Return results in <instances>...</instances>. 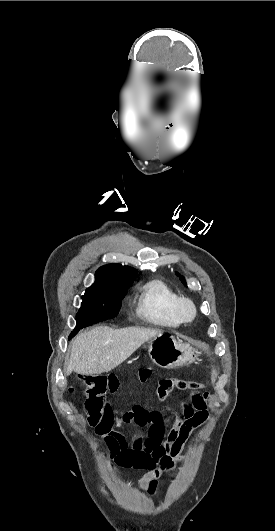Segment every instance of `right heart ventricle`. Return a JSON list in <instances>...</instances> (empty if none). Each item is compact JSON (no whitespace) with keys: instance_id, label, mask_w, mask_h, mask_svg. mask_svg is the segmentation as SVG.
<instances>
[{"instance_id":"1","label":"right heart ventricle","mask_w":275,"mask_h":531,"mask_svg":"<svg viewBox=\"0 0 275 531\" xmlns=\"http://www.w3.org/2000/svg\"><path fill=\"white\" fill-rule=\"evenodd\" d=\"M176 297L174 289L165 281L150 279L138 289L137 312L156 325L176 327L180 324L172 311Z\"/></svg>"}]
</instances>
